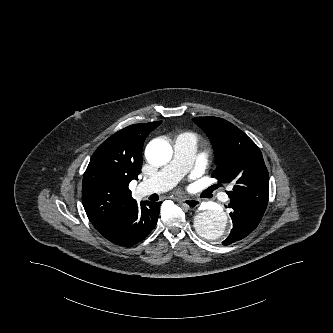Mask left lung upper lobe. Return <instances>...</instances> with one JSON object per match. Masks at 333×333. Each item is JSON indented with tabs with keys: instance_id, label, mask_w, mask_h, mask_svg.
<instances>
[{
	"instance_id": "obj_1",
	"label": "left lung upper lobe",
	"mask_w": 333,
	"mask_h": 333,
	"mask_svg": "<svg viewBox=\"0 0 333 333\" xmlns=\"http://www.w3.org/2000/svg\"><path fill=\"white\" fill-rule=\"evenodd\" d=\"M193 121L205 131L215 149L217 169L212 177L233 186L227 191L230 201L266 210L269 174L258 146L222 118L197 117Z\"/></svg>"
}]
</instances>
